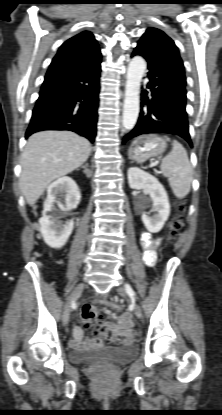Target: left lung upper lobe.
<instances>
[{"label":"left lung upper lobe","instance_id":"left-lung-upper-lobe-1","mask_svg":"<svg viewBox=\"0 0 222 415\" xmlns=\"http://www.w3.org/2000/svg\"><path fill=\"white\" fill-rule=\"evenodd\" d=\"M139 42L147 43L154 47L162 48L179 55L178 48L173 40L157 28H148Z\"/></svg>","mask_w":222,"mask_h":415}]
</instances>
